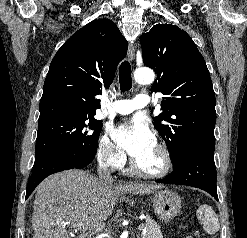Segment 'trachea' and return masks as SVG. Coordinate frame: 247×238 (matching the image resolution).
Listing matches in <instances>:
<instances>
[{
	"mask_svg": "<svg viewBox=\"0 0 247 238\" xmlns=\"http://www.w3.org/2000/svg\"><path fill=\"white\" fill-rule=\"evenodd\" d=\"M119 82L120 89L122 92L128 91L132 88V78H131V65L129 62L124 61L121 63L119 68Z\"/></svg>",
	"mask_w": 247,
	"mask_h": 238,
	"instance_id": "1",
	"label": "trachea"
}]
</instances>
